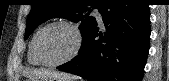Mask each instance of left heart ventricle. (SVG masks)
Wrapping results in <instances>:
<instances>
[{
	"label": "left heart ventricle",
	"mask_w": 169,
	"mask_h": 81,
	"mask_svg": "<svg viewBox=\"0 0 169 81\" xmlns=\"http://www.w3.org/2000/svg\"><path fill=\"white\" fill-rule=\"evenodd\" d=\"M75 45L73 32L65 26L46 30L39 40V51L47 62H57L70 54Z\"/></svg>",
	"instance_id": "left-heart-ventricle-1"
}]
</instances>
